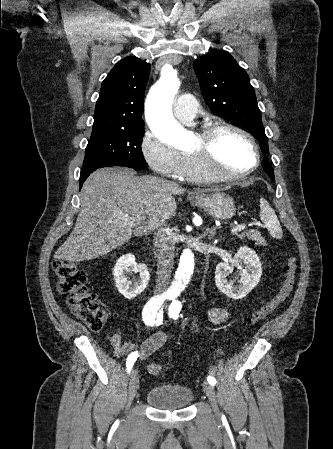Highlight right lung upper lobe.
Here are the masks:
<instances>
[{"label":"right lung upper lobe","instance_id":"right-lung-upper-lobe-1","mask_svg":"<svg viewBox=\"0 0 333 449\" xmlns=\"http://www.w3.org/2000/svg\"><path fill=\"white\" fill-rule=\"evenodd\" d=\"M151 65L137 57L119 61L102 82L92 131L143 126V98Z\"/></svg>","mask_w":333,"mask_h":449}]
</instances>
